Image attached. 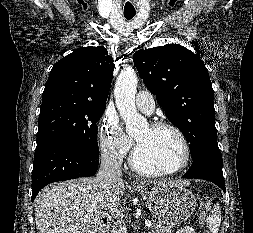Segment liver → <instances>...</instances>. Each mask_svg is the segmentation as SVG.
I'll return each mask as SVG.
<instances>
[{"label": "liver", "instance_id": "6515ba94", "mask_svg": "<svg viewBox=\"0 0 253 233\" xmlns=\"http://www.w3.org/2000/svg\"><path fill=\"white\" fill-rule=\"evenodd\" d=\"M168 183L184 185L181 181ZM162 184L165 183H158ZM112 189V194L120 199L125 192L124 181ZM109 200L110 195L97 178H79L47 186L35 199L38 233H90Z\"/></svg>", "mask_w": 253, "mask_h": 233}]
</instances>
